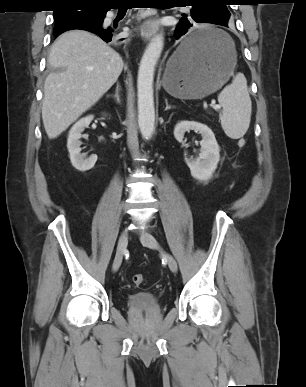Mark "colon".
<instances>
[{"label": "colon", "instance_id": "colon-1", "mask_svg": "<svg viewBox=\"0 0 306 387\" xmlns=\"http://www.w3.org/2000/svg\"><path fill=\"white\" fill-rule=\"evenodd\" d=\"M132 281L136 286H141L145 283V277L142 274H135L132 277Z\"/></svg>", "mask_w": 306, "mask_h": 387}]
</instances>
